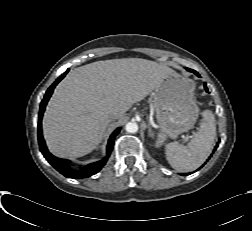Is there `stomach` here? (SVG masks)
<instances>
[{
  "label": "stomach",
  "instance_id": "1",
  "mask_svg": "<svg viewBox=\"0 0 252 231\" xmlns=\"http://www.w3.org/2000/svg\"><path fill=\"white\" fill-rule=\"evenodd\" d=\"M195 83L172 72L152 93V102L161 135L176 138L190 130L197 117L194 100Z\"/></svg>",
  "mask_w": 252,
  "mask_h": 231
}]
</instances>
